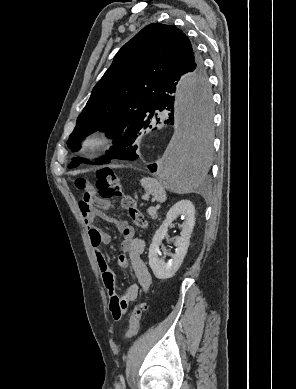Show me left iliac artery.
Masks as SVG:
<instances>
[{
    "instance_id": "44dca946",
    "label": "left iliac artery",
    "mask_w": 296,
    "mask_h": 389,
    "mask_svg": "<svg viewBox=\"0 0 296 389\" xmlns=\"http://www.w3.org/2000/svg\"><path fill=\"white\" fill-rule=\"evenodd\" d=\"M124 388H125L124 378L120 376V382L116 385V389H124Z\"/></svg>"
}]
</instances>
